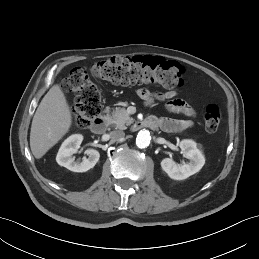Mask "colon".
<instances>
[{"instance_id": "colon-1", "label": "colon", "mask_w": 259, "mask_h": 259, "mask_svg": "<svg viewBox=\"0 0 259 259\" xmlns=\"http://www.w3.org/2000/svg\"><path fill=\"white\" fill-rule=\"evenodd\" d=\"M92 76L119 85L156 84L175 89L183 85V68L174 61L155 56L113 57L94 63ZM63 88L75 95L74 123L87 128L101 110V93L86 69L73 68L63 83ZM222 121V111L210 104L204 113V126L215 132Z\"/></svg>"}]
</instances>
